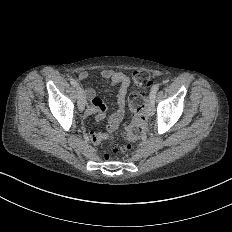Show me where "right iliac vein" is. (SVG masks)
Listing matches in <instances>:
<instances>
[{
  "mask_svg": "<svg viewBox=\"0 0 232 232\" xmlns=\"http://www.w3.org/2000/svg\"><path fill=\"white\" fill-rule=\"evenodd\" d=\"M77 105L79 112L81 113L84 110V89L83 86H80L79 93L77 94ZM83 109V110H82Z\"/></svg>",
  "mask_w": 232,
  "mask_h": 232,
  "instance_id": "1",
  "label": "right iliac vein"
}]
</instances>
